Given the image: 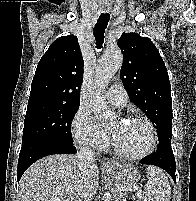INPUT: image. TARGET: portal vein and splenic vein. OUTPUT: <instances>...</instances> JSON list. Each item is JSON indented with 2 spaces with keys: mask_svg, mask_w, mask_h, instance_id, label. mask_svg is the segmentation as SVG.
Instances as JSON below:
<instances>
[{
  "mask_svg": "<svg viewBox=\"0 0 196 201\" xmlns=\"http://www.w3.org/2000/svg\"><path fill=\"white\" fill-rule=\"evenodd\" d=\"M130 190V187H122V188H119V191H129ZM141 192H138L137 193V196L139 197V198H141Z\"/></svg>",
  "mask_w": 196,
  "mask_h": 201,
  "instance_id": "portal-vein-and-splenic-vein-1",
  "label": "portal vein and splenic vein"
}]
</instances>
